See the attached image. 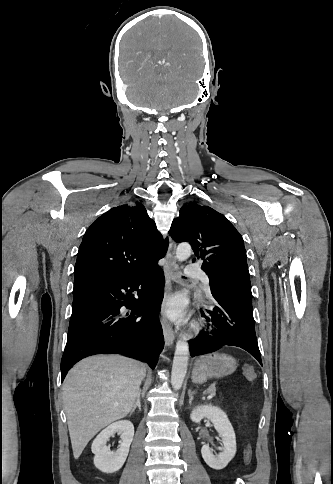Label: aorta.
Returning <instances> with one entry per match:
<instances>
[{"label": "aorta", "instance_id": "aorta-1", "mask_svg": "<svg viewBox=\"0 0 333 484\" xmlns=\"http://www.w3.org/2000/svg\"><path fill=\"white\" fill-rule=\"evenodd\" d=\"M192 252L191 246L188 243H181L176 248V258L179 261H184L190 257ZM189 359V346L184 340H178L176 343L174 359L171 372V384L173 389L179 390L184 382L187 373Z\"/></svg>", "mask_w": 333, "mask_h": 484}]
</instances>
